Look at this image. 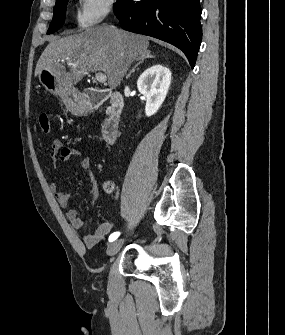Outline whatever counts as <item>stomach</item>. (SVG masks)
<instances>
[{"mask_svg":"<svg viewBox=\"0 0 285 335\" xmlns=\"http://www.w3.org/2000/svg\"><path fill=\"white\" fill-rule=\"evenodd\" d=\"M38 78L40 84L44 86L47 92L65 100L67 106H71L73 112H83V110H86L84 96L78 90H75V88H71L67 82H64L63 78H60L59 74H56L54 70L43 68V70H40Z\"/></svg>","mask_w":285,"mask_h":335,"instance_id":"obj_1","label":"stomach"}]
</instances>
